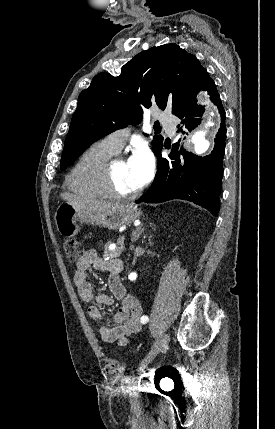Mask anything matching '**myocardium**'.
<instances>
[{"instance_id": "f54148a6", "label": "myocardium", "mask_w": 275, "mask_h": 429, "mask_svg": "<svg viewBox=\"0 0 275 429\" xmlns=\"http://www.w3.org/2000/svg\"><path fill=\"white\" fill-rule=\"evenodd\" d=\"M117 161H123V159L120 157L111 159L107 162L105 167L104 189H105L106 195L110 198L118 199V200L134 199L140 194L141 189H137L135 192H132V193L124 194L118 191V189L116 188L113 167L115 162Z\"/></svg>"}]
</instances>
